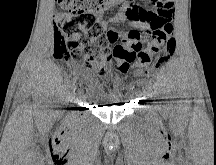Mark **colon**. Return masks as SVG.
Returning a JSON list of instances; mask_svg holds the SVG:
<instances>
[{"label": "colon", "instance_id": "colon-1", "mask_svg": "<svg viewBox=\"0 0 216 165\" xmlns=\"http://www.w3.org/2000/svg\"><path fill=\"white\" fill-rule=\"evenodd\" d=\"M61 11L54 22L55 53L71 64L93 71L105 79L111 72V60L117 70H125L134 63L138 67H158L169 59L175 49L173 10L150 13H129L132 18L147 20L146 30H130L122 44L113 49L97 14L109 7L113 0H57ZM141 40H148L142 48Z\"/></svg>", "mask_w": 216, "mask_h": 165}]
</instances>
